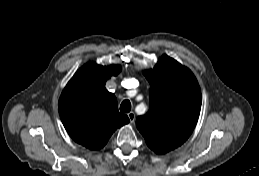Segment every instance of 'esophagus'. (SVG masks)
Instances as JSON below:
<instances>
[{
  "label": "esophagus",
  "instance_id": "34e87169",
  "mask_svg": "<svg viewBox=\"0 0 259 176\" xmlns=\"http://www.w3.org/2000/svg\"><path fill=\"white\" fill-rule=\"evenodd\" d=\"M128 118H129L131 123H134V121H135V113L134 112H129L128 113Z\"/></svg>",
  "mask_w": 259,
  "mask_h": 176
}]
</instances>
